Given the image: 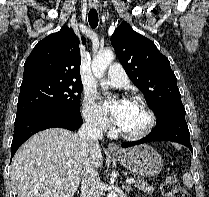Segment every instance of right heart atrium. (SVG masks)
Listing matches in <instances>:
<instances>
[{"mask_svg": "<svg viewBox=\"0 0 209 197\" xmlns=\"http://www.w3.org/2000/svg\"><path fill=\"white\" fill-rule=\"evenodd\" d=\"M82 116L88 126L98 132L108 129L109 119L96 99L86 94L82 101Z\"/></svg>", "mask_w": 209, "mask_h": 197, "instance_id": "1", "label": "right heart atrium"}]
</instances>
